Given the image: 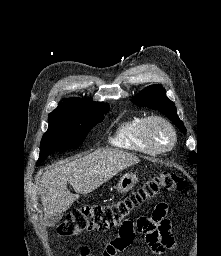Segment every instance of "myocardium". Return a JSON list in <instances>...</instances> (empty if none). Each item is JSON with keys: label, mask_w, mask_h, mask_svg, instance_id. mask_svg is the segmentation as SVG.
Masks as SVG:
<instances>
[{"label": "myocardium", "mask_w": 221, "mask_h": 256, "mask_svg": "<svg viewBox=\"0 0 221 256\" xmlns=\"http://www.w3.org/2000/svg\"><path fill=\"white\" fill-rule=\"evenodd\" d=\"M157 123L166 126L172 135V141L168 146H159L153 138L152 127ZM143 136L145 141L158 153L171 150L177 142V133L174 126L169 120L159 115H151L145 118Z\"/></svg>", "instance_id": "f54148a6"}]
</instances>
